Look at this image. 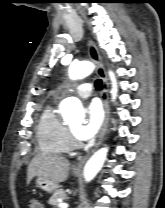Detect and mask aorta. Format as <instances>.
Segmentation results:
<instances>
[{"label":"aorta","instance_id":"762f6f07","mask_svg":"<svg viewBox=\"0 0 165 208\" xmlns=\"http://www.w3.org/2000/svg\"><path fill=\"white\" fill-rule=\"evenodd\" d=\"M94 70V64L89 61H83L80 63L71 64L69 67V76L73 80L82 79L90 75ZM109 76L112 83L111 95L114 100L117 96V82L113 72H109ZM60 110L62 116L65 119H83L84 110L79 99L76 97H69L64 99L60 103ZM108 148L104 147L95 152L91 158L87 161L84 167V179L86 182H90L102 168L106 159Z\"/></svg>","mask_w":165,"mask_h":208}]
</instances>
